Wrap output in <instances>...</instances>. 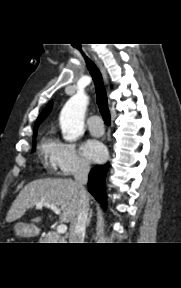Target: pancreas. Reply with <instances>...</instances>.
I'll list each match as a JSON object with an SVG mask.
<instances>
[{
    "instance_id": "obj_1",
    "label": "pancreas",
    "mask_w": 181,
    "mask_h": 288,
    "mask_svg": "<svg viewBox=\"0 0 181 288\" xmlns=\"http://www.w3.org/2000/svg\"><path fill=\"white\" fill-rule=\"evenodd\" d=\"M42 240L43 243H62L61 241H63V238L56 232H49Z\"/></svg>"
}]
</instances>
